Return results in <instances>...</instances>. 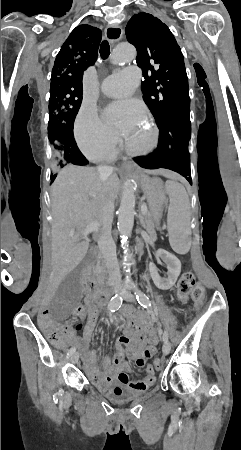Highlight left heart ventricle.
I'll use <instances>...</instances> for the list:
<instances>
[{"instance_id": "left-heart-ventricle-1", "label": "left heart ventricle", "mask_w": 241, "mask_h": 450, "mask_svg": "<svg viewBox=\"0 0 241 450\" xmlns=\"http://www.w3.org/2000/svg\"><path fill=\"white\" fill-rule=\"evenodd\" d=\"M149 127L148 120H142L130 127H128L125 137L127 141V152L129 153H143L145 151V141L149 139Z\"/></svg>"}]
</instances>
